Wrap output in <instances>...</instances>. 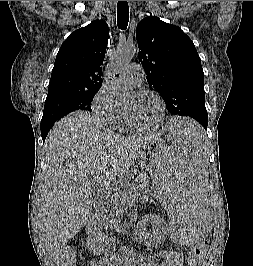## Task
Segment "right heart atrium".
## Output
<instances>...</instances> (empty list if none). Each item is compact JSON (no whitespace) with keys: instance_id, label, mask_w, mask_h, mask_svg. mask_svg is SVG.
Masks as SVG:
<instances>
[{"instance_id":"1","label":"right heart atrium","mask_w":253,"mask_h":266,"mask_svg":"<svg viewBox=\"0 0 253 266\" xmlns=\"http://www.w3.org/2000/svg\"><path fill=\"white\" fill-rule=\"evenodd\" d=\"M91 109L102 123L109 126L114 124L122 112L121 106L105 84H102L93 96Z\"/></svg>"}]
</instances>
